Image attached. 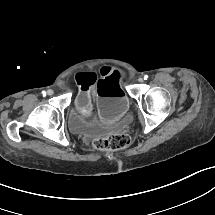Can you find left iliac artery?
<instances>
[{
	"label": "left iliac artery",
	"instance_id": "left-iliac-artery-1",
	"mask_svg": "<svg viewBox=\"0 0 215 215\" xmlns=\"http://www.w3.org/2000/svg\"><path fill=\"white\" fill-rule=\"evenodd\" d=\"M147 79H148V75H145V76H144V80H147Z\"/></svg>",
	"mask_w": 215,
	"mask_h": 215
}]
</instances>
